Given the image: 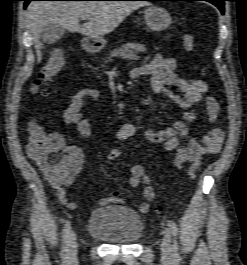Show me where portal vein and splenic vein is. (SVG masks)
<instances>
[{
  "label": "portal vein and splenic vein",
  "instance_id": "1",
  "mask_svg": "<svg viewBox=\"0 0 247 265\" xmlns=\"http://www.w3.org/2000/svg\"><path fill=\"white\" fill-rule=\"evenodd\" d=\"M82 19H83V20H89L90 17H89V16H82Z\"/></svg>",
  "mask_w": 247,
  "mask_h": 265
}]
</instances>
